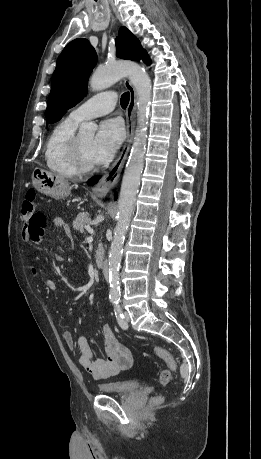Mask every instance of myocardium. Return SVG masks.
Instances as JSON below:
<instances>
[{"mask_svg": "<svg viewBox=\"0 0 261 459\" xmlns=\"http://www.w3.org/2000/svg\"><path fill=\"white\" fill-rule=\"evenodd\" d=\"M71 160L79 173H89L95 169V164L86 160L79 136H74L70 146Z\"/></svg>", "mask_w": 261, "mask_h": 459, "instance_id": "obj_1", "label": "myocardium"}]
</instances>
